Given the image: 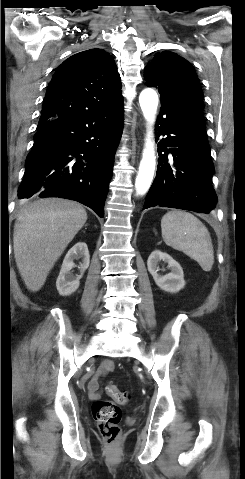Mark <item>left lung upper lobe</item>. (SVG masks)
Listing matches in <instances>:
<instances>
[{"instance_id":"left-lung-upper-lobe-1","label":"left lung upper lobe","mask_w":245,"mask_h":479,"mask_svg":"<svg viewBox=\"0 0 245 479\" xmlns=\"http://www.w3.org/2000/svg\"><path fill=\"white\" fill-rule=\"evenodd\" d=\"M147 86L158 88L161 102L194 100L203 106V92L194 67L173 52L157 53L145 69Z\"/></svg>"}]
</instances>
